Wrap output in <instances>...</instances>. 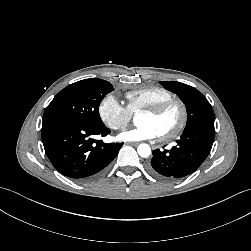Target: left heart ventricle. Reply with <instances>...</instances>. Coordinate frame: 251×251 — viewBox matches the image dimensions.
<instances>
[{
	"mask_svg": "<svg viewBox=\"0 0 251 251\" xmlns=\"http://www.w3.org/2000/svg\"><path fill=\"white\" fill-rule=\"evenodd\" d=\"M180 112L178 108L173 107L159 116L142 113L137 121L139 124L152 125L160 134L171 131L179 122Z\"/></svg>",
	"mask_w": 251,
	"mask_h": 251,
	"instance_id": "b2bd125f",
	"label": "left heart ventricle"
}]
</instances>
